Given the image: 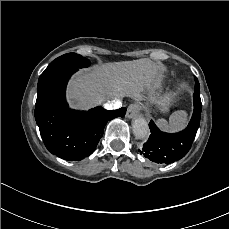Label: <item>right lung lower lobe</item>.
<instances>
[{
  "mask_svg": "<svg viewBox=\"0 0 229 229\" xmlns=\"http://www.w3.org/2000/svg\"><path fill=\"white\" fill-rule=\"evenodd\" d=\"M77 70L63 68L39 78L35 105L36 123L46 148L68 161H79L91 155L106 123L126 113V108L108 111L96 107L87 112L70 109L65 89L69 78Z\"/></svg>",
  "mask_w": 229,
  "mask_h": 229,
  "instance_id": "right-lung-lower-lobe-1",
  "label": "right lung lower lobe"
}]
</instances>
